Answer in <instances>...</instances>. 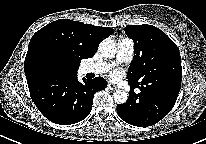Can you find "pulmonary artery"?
<instances>
[{
	"label": "pulmonary artery",
	"instance_id": "pulmonary-artery-1",
	"mask_svg": "<svg viewBox=\"0 0 206 144\" xmlns=\"http://www.w3.org/2000/svg\"><path fill=\"white\" fill-rule=\"evenodd\" d=\"M134 42L129 38H121L118 41V51L116 55V62L128 61L133 57ZM113 63L98 62L85 65L82 68L83 73L101 74L107 72Z\"/></svg>",
	"mask_w": 206,
	"mask_h": 144
}]
</instances>
